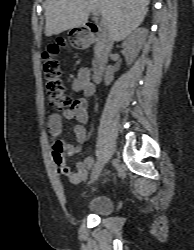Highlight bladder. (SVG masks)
<instances>
[{"instance_id":"1","label":"bladder","mask_w":194,"mask_h":250,"mask_svg":"<svg viewBox=\"0 0 194 250\" xmlns=\"http://www.w3.org/2000/svg\"><path fill=\"white\" fill-rule=\"evenodd\" d=\"M86 210L96 215H108L113 210V202L110 197L99 195L88 202Z\"/></svg>"}]
</instances>
